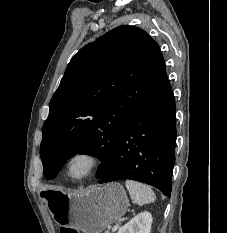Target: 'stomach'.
<instances>
[{
    "label": "stomach",
    "instance_id": "obj_1",
    "mask_svg": "<svg viewBox=\"0 0 227 233\" xmlns=\"http://www.w3.org/2000/svg\"><path fill=\"white\" fill-rule=\"evenodd\" d=\"M45 192L48 209L56 223L85 233H101L121 218L129 206L127 194L119 183L80 193L56 188Z\"/></svg>",
    "mask_w": 227,
    "mask_h": 233
}]
</instances>
